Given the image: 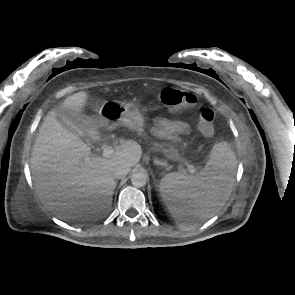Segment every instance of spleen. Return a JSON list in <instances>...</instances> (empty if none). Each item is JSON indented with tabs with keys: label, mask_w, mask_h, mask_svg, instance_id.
I'll return each mask as SVG.
<instances>
[{
	"label": "spleen",
	"mask_w": 295,
	"mask_h": 295,
	"mask_svg": "<svg viewBox=\"0 0 295 295\" xmlns=\"http://www.w3.org/2000/svg\"><path fill=\"white\" fill-rule=\"evenodd\" d=\"M236 157L226 142L213 146L204 169L196 176L172 172L160 181V193L182 228L187 221L212 215L228 199L235 179Z\"/></svg>",
	"instance_id": "1"
}]
</instances>
